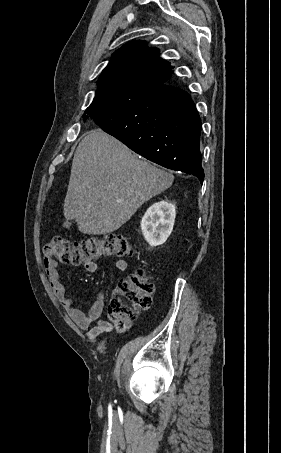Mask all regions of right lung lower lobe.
<instances>
[{
    "label": "right lung lower lobe",
    "mask_w": 281,
    "mask_h": 453,
    "mask_svg": "<svg viewBox=\"0 0 281 453\" xmlns=\"http://www.w3.org/2000/svg\"><path fill=\"white\" fill-rule=\"evenodd\" d=\"M84 116L146 159L192 174L202 184L201 120L186 92L163 84L129 101L92 108Z\"/></svg>",
    "instance_id": "obj_1"
}]
</instances>
